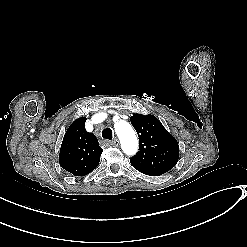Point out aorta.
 <instances>
[{
	"label": "aorta",
	"instance_id": "1",
	"mask_svg": "<svg viewBox=\"0 0 247 247\" xmlns=\"http://www.w3.org/2000/svg\"><path fill=\"white\" fill-rule=\"evenodd\" d=\"M114 128L124 153L135 154L138 149V139L132 126L128 122L120 120L114 124Z\"/></svg>",
	"mask_w": 247,
	"mask_h": 247
}]
</instances>
